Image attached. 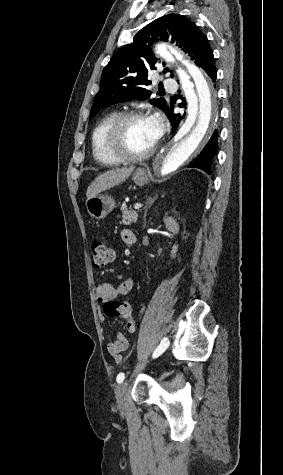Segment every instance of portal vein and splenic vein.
I'll use <instances>...</instances> for the list:
<instances>
[{"instance_id":"18ae733b","label":"portal vein and splenic vein","mask_w":283,"mask_h":475,"mask_svg":"<svg viewBox=\"0 0 283 475\" xmlns=\"http://www.w3.org/2000/svg\"><path fill=\"white\" fill-rule=\"evenodd\" d=\"M139 208H142V204H134V210H139Z\"/></svg>"}]
</instances>
